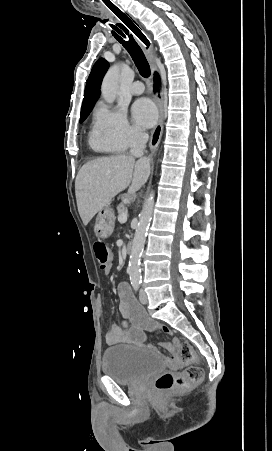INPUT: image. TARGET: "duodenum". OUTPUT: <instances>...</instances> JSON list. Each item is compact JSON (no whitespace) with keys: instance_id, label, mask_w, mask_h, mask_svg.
Returning a JSON list of instances; mask_svg holds the SVG:
<instances>
[{"instance_id":"410a0bca","label":"duodenum","mask_w":272,"mask_h":451,"mask_svg":"<svg viewBox=\"0 0 272 451\" xmlns=\"http://www.w3.org/2000/svg\"><path fill=\"white\" fill-rule=\"evenodd\" d=\"M131 250H132V243H128L127 246H126V252L130 253Z\"/></svg>"}]
</instances>
